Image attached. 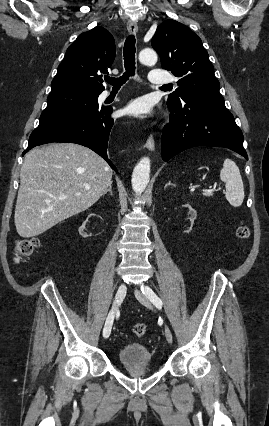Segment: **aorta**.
I'll use <instances>...</instances> for the list:
<instances>
[{
    "label": "aorta",
    "instance_id": "762f6f07",
    "mask_svg": "<svg viewBox=\"0 0 269 426\" xmlns=\"http://www.w3.org/2000/svg\"><path fill=\"white\" fill-rule=\"evenodd\" d=\"M139 61L144 65H154L157 62V53L153 49H143L139 53ZM151 162L148 157H143L135 166L132 173V189L136 194H141L146 189L150 179Z\"/></svg>",
    "mask_w": 269,
    "mask_h": 426
}]
</instances>
